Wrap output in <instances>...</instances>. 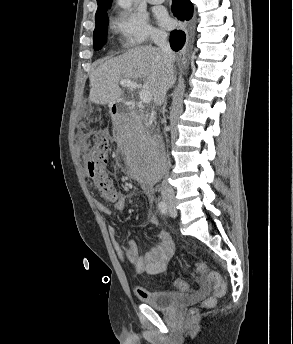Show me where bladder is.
Segmentation results:
<instances>
[{
    "mask_svg": "<svg viewBox=\"0 0 293 344\" xmlns=\"http://www.w3.org/2000/svg\"><path fill=\"white\" fill-rule=\"evenodd\" d=\"M143 301L158 310H167L186 299V295L172 290H145Z\"/></svg>",
    "mask_w": 293,
    "mask_h": 344,
    "instance_id": "bladder-1",
    "label": "bladder"
}]
</instances>
